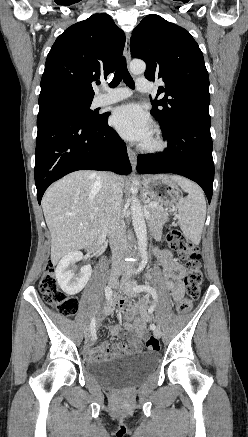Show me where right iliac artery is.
Returning a JSON list of instances; mask_svg holds the SVG:
<instances>
[{"label":"right iliac artery","mask_w":248,"mask_h":437,"mask_svg":"<svg viewBox=\"0 0 248 437\" xmlns=\"http://www.w3.org/2000/svg\"><path fill=\"white\" fill-rule=\"evenodd\" d=\"M105 296L107 300H110L111 296H112V289L109 286H106L105 288ZM95 323H96V319L95 317H93L91 319V323H90V329H91V334L92 337L96 339V334H95Z\"/></svg>","instance_id":"1"}]
</instances>
